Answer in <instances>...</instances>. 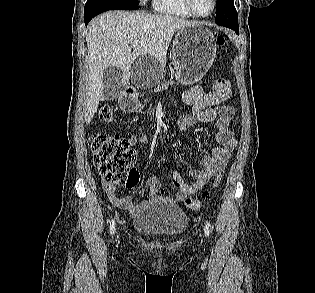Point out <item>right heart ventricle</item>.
Returning <instances> with one entry per match:
<instances>
[{"mask_svg": "<svg viewBox=\"0 0 315 293\" xmlns=\"http://www.w3.org/2000/svg\"><path fill=\"white\" fill-rule=\"evenodd\" d=\"M155 9L165 15L177 18L195 17L188 9L185 0H155Z\"/></svg>", "mask_w": 315, "mask_h": 293, "instance_id": "e07e8e85", "label": "right heart ventricle"}]
</instances>
